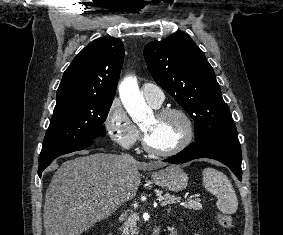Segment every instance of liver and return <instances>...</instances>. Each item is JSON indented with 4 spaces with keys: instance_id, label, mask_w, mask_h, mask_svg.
<instances>
[{
    "instance_id": "liver-1",
    "label": "liver",
    "mask_w": 283,
    "mask_h": 235,
    "mask_svg": "<svg viewBox=\"0 0 283 235\" xmlns=\"http://www.w3.org/2000/svg\"><path fill=\"white\" fill-rule=\"evenodd\" d=\"M64 162L46 191L43 220L46 235H81L135 197L139 170L163 167L162 162L125 160L95 153Z\"/></svg>"
}]
</instances>
